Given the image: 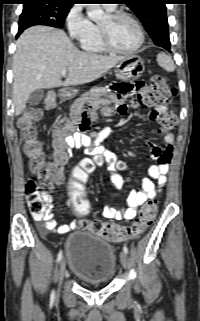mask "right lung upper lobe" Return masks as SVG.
I'll return each mask as SVG.
<instances>
[{"label":"right lung upper lobe","mask_w":200,"mask_h":321,"mask_svg":"<svg viewBox=\"0 0 200 321\" xmlns=\"http://www.w3.org/2000/svg\"><path fill=\"white\" fill-rule=\"evenodd\" d=\"M25 2H31V1H52V2H56L59 5H65V6H72V4L76 1V0H22Z\"/></svg>","instance_id":"obj_1"}]
</instances>
